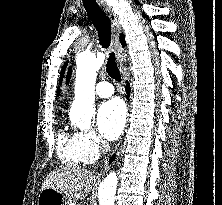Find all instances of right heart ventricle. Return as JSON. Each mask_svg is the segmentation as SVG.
Returning a JSON list of instances; mask_svg holds the SVG:
<instances>
[{
  "label": "right heart ventricle",
  "mask_w": 222,
  "mask_h": 205,
  "mask_svg": "<svg viewBox=\"0 0 222 205\" xmlns=\"http://www.w3.org/2000/svg\"><path fill=\"white\" fill-rule=\"evenodd\" d=\"M57 155L67 166L76 167L89 162L80 148L77 133L64 130L58 136Z\"/></svg>",
  "instance_id": "obj_1"
}]
</instances>
